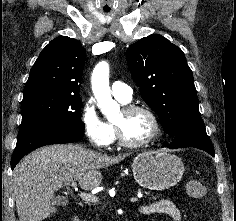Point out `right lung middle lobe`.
<instances>
[{"mask_svg":"<svg viewBox=\"0 0 236 221\" xmlns=\"http://www.w3.org/2000/svg\"><path fill=\"white\" fill-rule=\"evenodd\" d=\"M79 94L38 91L24 94L20 129L36 124H50L83 131Z\"/></svg>","mask_w":236,"mask_h":221,"instance_id":"right-lung-middle-lobe-1","label":"right lung middle lobe"}]
</instances>
